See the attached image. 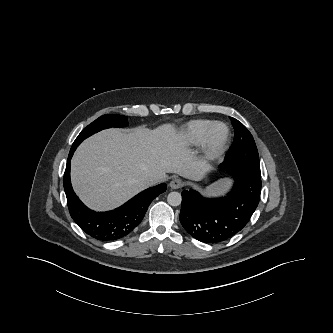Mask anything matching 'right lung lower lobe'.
<instances>
[{
    "instance_id": "obj_1",
    "label": "right lung lower lobe",
    "mask_w": 333,
    "mask_h": 333,
    "mask_svg": "<svg viewBox=\"0 0 333 333\" xmlns=\"http://www.w3.org/2000/svg\"><path fill=\"white\" fill-rule=\"evenodd\" d=\"M76 148H71L64 173V190L72 219L89 236L101 241H114L136 228L152 200L166 191L162 183L140 192L121 207L108 212H95L87 208L74 193L70 181V160Z\"/></svg>"
}]
</instances>
